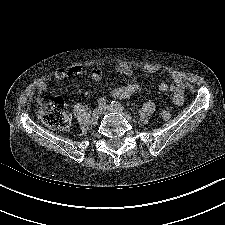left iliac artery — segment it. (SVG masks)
<instances>
[{
	"label": "left iliac artery",
	"mask_w": 225,
	"mask_h": 225,
	"mask_svg": "<svg viewBox=\"0 0 225 225\" xmlns=\"http://www.w3.org/2000/svg\"><path fill=\"white\" fill-rule=\"evenodd\" d=\"M111 106L112 107H115V108H122V109H125V106L121 105L119 102L117 101H112L111 102Z\"/></svg>",
	"instance_id": "1"
}]
</instances>
